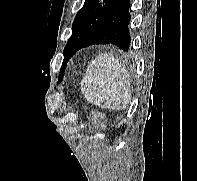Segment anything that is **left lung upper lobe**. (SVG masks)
Listing matches in <instances>:
<instances>
[{"label": "left lung upper lobe", "instance_id": "left-lung-upper-lobe-1", "mask_svg": "<svg viewBox=\"0 0 197 181\" xmlns=\"http://www.w3.org/2000/svg\"><path fill=\"white\" fill-rule=\"evenodd\" d=\"M112 1L86 0L76 14L72 25V35L64 48V60L59 75L60 82L67 62L78 50L83 48Z\"/></svg>", "mask_w": 197, "mask_h": 181}]
</instances>
